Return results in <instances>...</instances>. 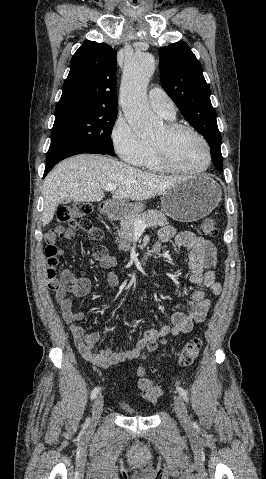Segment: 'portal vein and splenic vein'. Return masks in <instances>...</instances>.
<instances>
[{
  "mask_svg": "<svg viewBox=\"0 0 266 479\" xmlns=\"http://www.w3.org/2000/svg\"><path fill=\"white\" fill-rule=\"evenodd\" d=\"M116 188H117V186H116V185H113V184H109V185L105 186V190L108 191V192H113V191L116 190ZM149 226H151V225H150V224H146L145 222H143V221L140 220V219H137V220H135V222H134V227H135V230H136V231L142 232V231H144L145 228H147V227H149Z\"/></svg>",
  "mask_w": 266,
  "mask_h": 479,
  "instance_id": "portal-vein-and-splenic-vein-1",
  "label": "portal vein and splenic vein"
}]
</instances>
